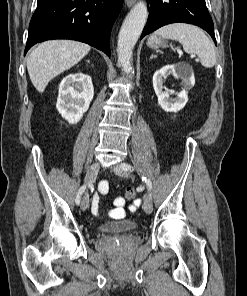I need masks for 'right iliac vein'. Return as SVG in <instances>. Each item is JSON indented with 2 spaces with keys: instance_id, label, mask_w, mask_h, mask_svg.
<instances>
[{
  "instance_id": "1",
  "label": "right iliac vein",
  "mask_w": 247,
  "mask_h": 296,
  "mask_svg": "<svg viewBox=\"0 0 247 296\" xmlns=\"http://www.w3.org/2000/svg\"><path fill=\"white\" fill-rule=\"evenodd\" d=\"M99 168H100L99 163H94L90 166L85 176L86 184L90 185L95 180L98 174ZM88 206H89V196L88 194H85L81 201V209L85 211L88 208Z\"/></svg>"
}]
</instances>
